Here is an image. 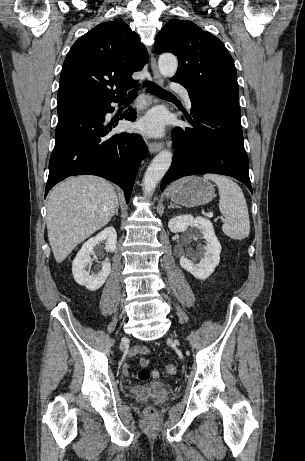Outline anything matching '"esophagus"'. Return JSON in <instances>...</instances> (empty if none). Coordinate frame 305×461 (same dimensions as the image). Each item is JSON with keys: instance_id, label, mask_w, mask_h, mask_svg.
Wrapping results in <instances>:
<instances>
[{"instance_id": "esophagus-1", "label": "esophagus", "mask_w": 305, "mask_h": 461, "mask_svg": "<svg viewBox=\"0 0 305 461\" xmlns=\"http://www.w3.org/2000/svg\"><path fill=\"white\" fill-rule=\"evenodd\" d=\"M151 69H152L153 79L155 83L158 85H163V79L158 71L156 60L153 55L151 56ZM163 146H164V142L151 141L148 144V149L150 153H157L163 148Z\"/></svg>"}]
</instances>
